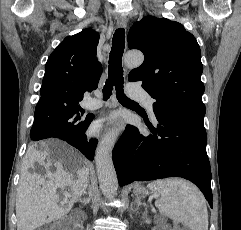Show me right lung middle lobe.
Wrapping results in <instances>:
<instances>
[{
    "label": "right lung middle lobe",
    "mask_w": 241,
    "mask_h": 230,
    "mask_svg": "<svg viewBox=\"0 0 241 230\" xmlns=\"http://www.w3.org/2000/svg\"><path fill=\"white\" fill-rule=\"evenodd\" d=\"M88 120L89 117L84 116V110L80 106L54 107L35 115V121L41 125V129L54 132L79 131ZM30 136L34 141L44 138L42 133L30 134Z\"/></svg>",
    "instance_id": "1"
}]
</instances>
